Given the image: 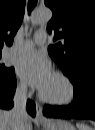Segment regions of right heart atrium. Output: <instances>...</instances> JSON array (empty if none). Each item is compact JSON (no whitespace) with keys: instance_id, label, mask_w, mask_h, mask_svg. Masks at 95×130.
<instances>
[{"instance_id":"1","label":"right heart atrium","mask_w":95,"mask_h":130,"mask_svg":"<svg viewBox=\"0 0 95 130\" xmlns=\"http://www.w3.org/2000/svg\"><path fill=\"white\" fill-rule=\"evenodd\" d=\"M16 89L20 94H25L27 92L26 84L23 81L18 82Z\"/></svg>"}]
</instances>
